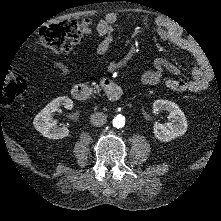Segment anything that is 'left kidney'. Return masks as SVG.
Returning <instances> with one entry per match:
<instances>
[{"label":"left kidney","mask_w":221,"mask_h":221,"mask_svg":"<svg viewBox=\"0 0 221 221\" xmlns=\"http://www.w3.org/2000/svg\"><path fill=\"white\" fill-rule=\"evenodd\" d=\"M153 111L158 114L161 111H168V123H155L153 126L154 136L161 142H169L177 137H181L187 131V120L184 112L177 104L168 100H156L153 103Z\"/></svg>","instance_id":"left-kidney-1"}]
</instances>
